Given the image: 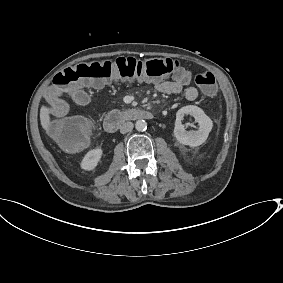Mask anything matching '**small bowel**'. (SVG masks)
<instances>
[{
	"mask_svg": "<svg viewBox=\"0 0 283 283\" xmlns=\"http://www.w3.org/2000/svg\"><path fill=\"white\" fill-rule=\"evenodd\" d=\"M190 81V72L179 67L174 71L172 80H156L154 85L155 89L160 93L183 94L187 100H195L198 96V91L190 85ZM65 92V90L58 88L56 85L50 86L45 92L48 109L55 118H63L68 113V105L62 99Z\"/></svg>",
	"mask_w": 283,
	"mask_h": 283,
	"instance_id": "1",
	"label": "small bowel"
}]
</instances>
